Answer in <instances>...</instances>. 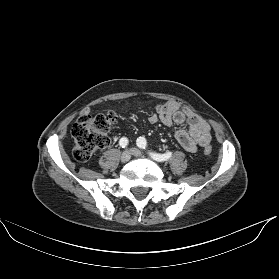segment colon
I'll return each instance as SVG.
<instances>
[{"instance_id": "colon-1", "label": "colon", "mask_w": 279, "mask_h": 279, "mask_svg": "<svg viewBox=\"0 0 279 279\" xmlns=\"http://www.w3.org/2000/svg\"><path fill=\"white\" fill-rule=\"evenodd\" d=\"M116 119L112 111L91 115L83 113L74 123L71 136L74 142L73 156L78 162H86L99 149L109 143L108 132ZM210 146L204 149L205 155H210Z\"/></svg>"}]
</instances>
